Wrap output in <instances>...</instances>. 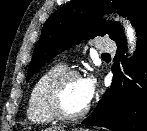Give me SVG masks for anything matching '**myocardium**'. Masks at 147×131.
Segmentation results:
<instances>
[{
    "label": "myocardium",
    "instance_id": "myocardium-1",
    "mask_svg": "<svg viewBox=\"0 0 147 131\" xmlns=\"http://www.w3.org/2000/svg\"><path fill=\"white\" fill-rule=\"evenodd\" d=\"M81 79V74L76 70H65L55 77H53L47 84L44 91V102L46 108L51 113V115L61 121H75L84 117L90 109L89 104L77 112L68 113L62 105V90L64 85L71 79Z\"/></svg>",
    "mask_w": 147,
    "mask_h": 131
}]
</instances>
